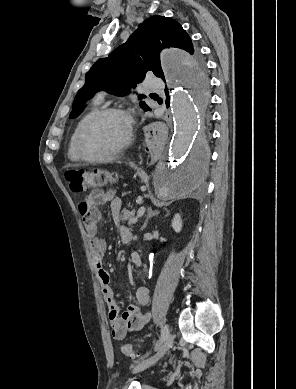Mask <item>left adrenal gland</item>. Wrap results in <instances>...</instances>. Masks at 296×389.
<instances>
[{
  "instance_id": "a2214340",
  "label": "left adrenal gland",
  "mask_w": 296,
  "mask_h": 389,
  "mask_svg": "<svg viewBox=\"0 0 296 389\" xmlns=\"http://www.w3.org/2000/svg\"><path fill=\"white\" fill-rule=\"evenodd\" d=\"M158 214H159L158 210H152V208H148L147 209L146 220H145L143 226L141 227V231H143L147 227L149 219L152 218L153 216L158 215Z\"/></svg>"
}]
</instances>
